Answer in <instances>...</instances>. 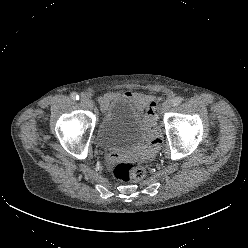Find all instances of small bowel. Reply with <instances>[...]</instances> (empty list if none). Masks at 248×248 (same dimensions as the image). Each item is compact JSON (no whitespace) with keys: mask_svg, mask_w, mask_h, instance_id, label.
I'll return each mask as SVG.
<instances>
[{"mask_svg":"<svg viewBox=\"0 0 248 248\" xmlns=\"http://www.w3.org/2000/svg\"><path fill=\"white\" fill-rule=\"evenodd\" d=\"M119 94L117 93H107L104 96L100 98V106L103 110H106L111 103L112 100H114L116 97H118ZM123 96L127 99H129L132 103H134L138 108L143 109V108H150V106L156 102L153 100L150 96L141 94V93H135V92H127L123 94ZM159 139L156 136L155 139L153 140V144L156 145L158 144Z\"/></svg>","mask_w":248,"mask_h":248,"instance_id":"obj_1","label":"small bowel"}]
</instances>
